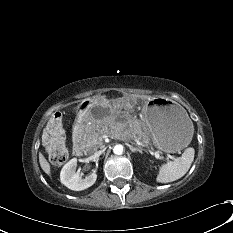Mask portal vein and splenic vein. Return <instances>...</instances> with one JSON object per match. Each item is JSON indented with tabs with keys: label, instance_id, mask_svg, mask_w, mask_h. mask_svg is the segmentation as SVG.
I'll list each match as a JSON object with an SVG mask.
<instances>
[{
	"label": "portal vein and splenic vein",
	"instance_id": "portal-vein-and-splenic-vein-1",
	"mask_svg": "<svg viewBox=\"0 0 233 233\" xmlns=\"http://www.w3.org/2000/svg\"><path fill=\"white\" fill-rule=\"evenodd\" d=\"M155 155L156 156H159V151L158 150H155ZM166 157L168 159H171V160H175L174 156L170 155V154H167Z\"/></svg>",
	"mask_w": 233,
	"mask_h": 233
}]
</instances>
